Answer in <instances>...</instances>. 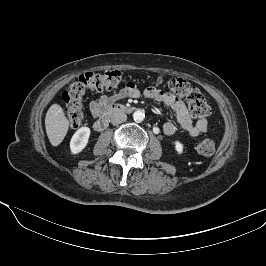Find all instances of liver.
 <instances>
[{"label":"liver","mask_w":266,"mask_h":266,"mask_svg":"<svg viewBox=\"0 0 266 266\" xmlns=\"http://www.w3.org/2000/svg\"><path fill=\"white\" fill-rule=\"evenodd\" d=\"M45 127L50 143L53 146H58L65 138L69 128V121L59 104H53L48 109L45 117Z\"/></svg>","instance_id":"6515ba94"}]
</instances>
